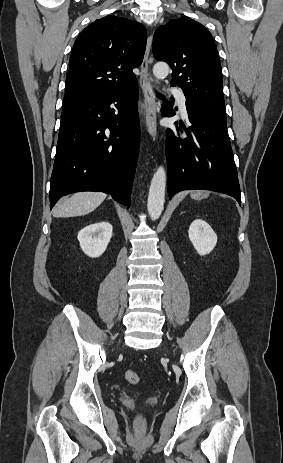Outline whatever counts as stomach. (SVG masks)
I'll list each match as a JSON object with an SVG mask.
<instances>
[{"label": "stomach", "instance_id": "stomach-1", "mask_svg": "<svg viewBox=\"0 0 283 463\" xmlns=\"http://www.w3.org/2000/svg\"><path fill=\"white\" fill-rule=\"evenodd\" d=\"M205 196V193L202 191H198L192 194L193 198H203Z\"/></svg>", "mask_w": 283, "mask_h": 463}]
</instances>
